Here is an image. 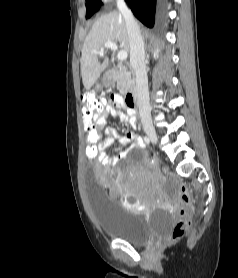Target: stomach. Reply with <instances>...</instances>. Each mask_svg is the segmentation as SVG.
<instances>
[{"instance_id": "1", "label": "stomach", "mask_w": 238, "mask_h": 278, "mask_svg": "<svg viewBox=\"0 0 238 278\" xmlns=\"http://www.w3.org/2000/svg\"><path fill=\"white\" fill-rule=\"evenodd\" d=\"M115 81H116V78L113 75V73L111 71H108L104 74V76L102 78V86L103 87H109L112 84H114Z\"/></svg>"}]
</instances>
